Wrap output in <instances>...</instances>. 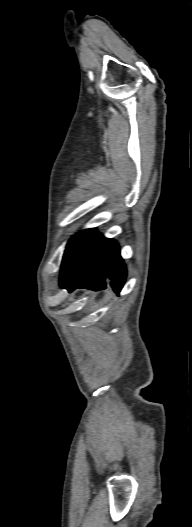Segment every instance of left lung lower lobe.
I'll return each instance as SVG.
<instances>
[{
    "mask_svg": "<svg viewBox=\"0 0 192 527\" xmlns=\"http://www.w3.org/2000/svg\"><path fill=\"white\" fill-rule=\"evenodd\" d=\"M60 285L69 292L77 288L100 290L106 288V279L119 293L126 269L117 243L87 229L76 234L68 243L61 265Z\"/></svg>",
    "mask_w": 192,
    "mask_h": 527,
    "instance_id": "left-lung-lower-lobe-1",
    "label": "left lung lower lobe"
}]
</instances>
